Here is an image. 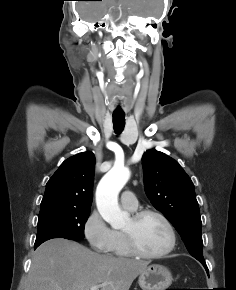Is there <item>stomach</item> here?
I'll return each mask as SVG.
<instances>
[{
    "label": "stomach",
    "instance_id": "0dacf381",
    "mask_svg": "<svg viewBox=\"0 0 236 290\" xmlns=\"http://www.w3.org/2000/svg\"><path fill=\"white\" fill-rule=\"evenodd\" d=\"M171 272L162 265H150L139 274L138 283L142 290H166L172 284Z\"/></svg>",
    "mask_w": 236,
    "mask_h": 290
}]
</instances>
